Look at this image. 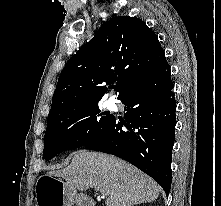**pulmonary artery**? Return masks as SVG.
I'll use <instances>...</instances> for the list:
<instances>
[{"mask_svg":"<svg viewBox=\"0 0 221 206\" xmlns=\"http://www.w3.org/2000/svg\"><path fill=\"white\" fill-rule=\"evenodd\" d=\"M112 104V102H108V105L110 106Z\"/></svg>","mask_w":221,"mask_h":206,"instance_id":"e3ab8cb5","label":"pulmonary artery"}]
</instances>
